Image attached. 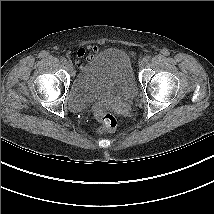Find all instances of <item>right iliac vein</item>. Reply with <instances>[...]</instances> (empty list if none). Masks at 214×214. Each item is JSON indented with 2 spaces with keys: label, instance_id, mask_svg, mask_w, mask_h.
Returning <instances> with one entry per match:
<instances>
[{
  "label": "right iliac vein",
  "instance_id": "63e3f726",
  "mask_svg": "<svg viewBox=\"0 0 214 214\" xmlns=\"http://www.w3.org/2000/svg\"><path fill=\"white\" fill-rule=\"evenodd\" d=\"M65 65L68 67V68H71L72 67V62L70 60L66 61L65 62Z\"/></svg>",
  "mask_w": 214,
  "mask_h": 214
}]
</instances>
